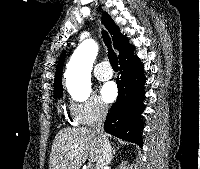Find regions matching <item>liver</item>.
<instances>
[{
	"label": "liver",
	"mask_w": 200,
	"mask_h": 169,
	"mask_svg": "<svg viewBox=\"0 0 200 169\" xmlns=\"http://www.w3.org/2000/svg\"><path fill=\"white\" fill-rule=\"evenodd\" d=\"M101 156L98 135L91 128H64L53 141L49 169H80Z\"/></svg>",
	"instance_id": "obj_1"
}]
</instances>
